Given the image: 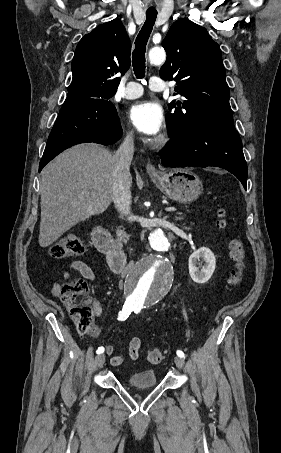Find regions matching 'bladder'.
I'll return each instance as SVG.
<instances>
[{"instance_id":"31cf9c89","label":"bladder","mask_w":281,"mask_h":453,"mask_svg":"<svg viewBox=\"0 0 281 453\" xmlns=\"http://www.w3.org/2000/svg\"><path fill=\"white\" fill-rule=\"evenodd\" d=\"M128 384L137 388L152 387L156 384L157 378L152 370L141 371L131 374L128 379Z\"/></svg>"}]
</instances>
